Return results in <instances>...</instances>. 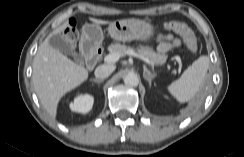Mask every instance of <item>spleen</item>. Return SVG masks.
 <instances>
[{"label": "spleen", "instance_id": "1", "mask_svg": "<svg viewBox=\"0 0 244 157\" xmlns=\"http://www.w3.org/2000/svg\"><path fill=\"white\" fill-rule=\"evenodd\" d=\"M208 67L209 58L200 56L178 80L167 87L168 92L180 103L191 100L202 86Z\"/></svg>", "mask_w": 244, "mask_h": 157}]
</instances>
